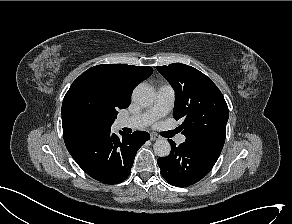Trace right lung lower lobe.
<instances>
[{
	"instance_id": "right-lung-lower-lobe-1",
	"label": "right lung lower lobe",
	"mask_w": 292,
	"mask_h": 224,
	"mask_svg": "<svg viewBox=\"0 0 292 224\" xmlns=\"http://www.w3.org/2000/svg\"><path fill=\"white\" fill-rule=\"evenodd\" d=\"M120 134L122 137L110 130L63 129L64 142L73 159L85 173L104 184L125 180L137 150L150 139L144 131Z\"/></svg>"
}]
</instances>
